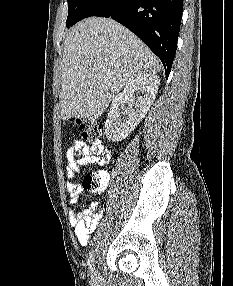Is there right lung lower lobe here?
<instances>
[{
    "label": "right lung lower lobe",
    "mask_w": 233,
    "mask_h": 286,
    "mask_svg": "<svg viewBox=\"0 0 233 286\" xmlns=\"http://www.w3.org/2000/svg\"><path fill=\"white\" fill-rule=\"evenodd\" d=\"M183 0H92L77 21L111 17L136 34L171 71L180 30Z\"/></svg>",
    "instance_id": "1"
}]
</instances>
